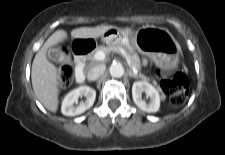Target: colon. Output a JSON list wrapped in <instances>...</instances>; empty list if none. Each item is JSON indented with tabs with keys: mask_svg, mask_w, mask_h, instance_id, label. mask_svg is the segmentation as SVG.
Masks as SVG:
<instances>
[{
	"mask_svg": "<svg viewBox=\"0 0 225 155\" xmlns=\"http://www.w3.org/2000/svg\"><path fill=\"white\" fill-rule=\"evenodd\" d=\"M157 72L162 77L161 87L169 95L171 104L174 106L182 105L188 96L189 81L187 76L179 70L168 72L159 68ZM72 73V66L65 59L59 66V77L62 85L68 84Z\"/></svg>",
	"mask_w": 225,
	"mask_h": 155,
	"instance_id": "1",
	"label": "colon"
}]
</instances>
